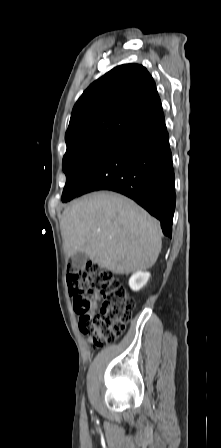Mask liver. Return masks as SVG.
Masks as SVG:
<instances>
[{"label":"liver","mask_w":221,"mask_h":448,"mask_svg":"<svg viewBox=\"0 0 221 448\" xmlns=\"http://www.w3.org/2000/svg\"><path fill=\"white\" fill-rule=\"evenodd\" d=\"M61 232L67 257L84 252L116 274L147 270L162 247L160 223L120 194L94 192L63 212Z\"/></svg>","instance_id":"liver-1"}]
</instances>
